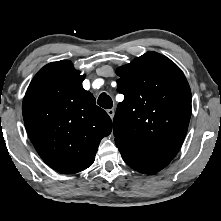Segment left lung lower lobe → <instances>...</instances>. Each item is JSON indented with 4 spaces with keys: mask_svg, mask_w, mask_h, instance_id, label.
<instances>
[{
    "mask_svg": "<svg viewBox=\"0 0 221 221\" xmlns=\"http://www.w3.org/2000/svg\"><path fill=\"white\" fill-rule=\"evenodd\" d=\"M123 160L134 170L144 174H154L169 163L145 158L124 144H116Z\"/></svg>",
    "mask_w": 221,
    "mask_h": 221,
    "instance_id": "left-lung-lower-lobe-1",
    "label": "left lung lower lobe"
}]
</instances>
